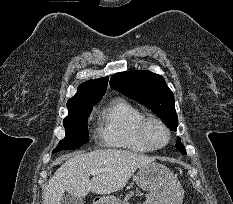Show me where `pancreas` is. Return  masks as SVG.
Segmentation results:
<instances>
[{"mask_svg": "<svg viewBox=\"0 0 233 204\" xmlns=\"http://www.w3.org/2000/svg\"><path fill=\"white\" fill-rule=\"evenodd\" d=\"M138 195H141V193L139 191H136ZM134 195V192H130V194H127L125 197V201H127L128 199H130L132 196Z\"/></svg>", "mask_w": 233, "mask_h": 204, "instance_id": "1", "label": "pancreas"}]
</instances>
